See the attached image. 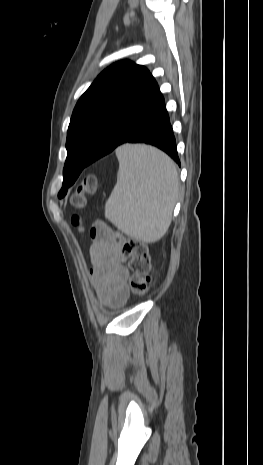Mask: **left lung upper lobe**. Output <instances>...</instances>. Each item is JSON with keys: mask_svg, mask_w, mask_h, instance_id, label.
<instances>
[{"mask_svg": "<svg viewBox=\"0 0 263 465\" xmlns=\"http://www.w3.org/2000/svg\"><path fill=\"white\" fill-rule=\"evenodd\" d=\"M149 71L131 61H121L105 69L77 102L67 132V158L78 160L68 175L58 197L67 193L86 167L101 136L116 113L128 105L141 90Z\"/></svg>", "mask_w": 263, "mask_h": 465, "instance_id": "left-lung-upper-lobe-1", "label": "left lung upper lobe"}]
</instances>
